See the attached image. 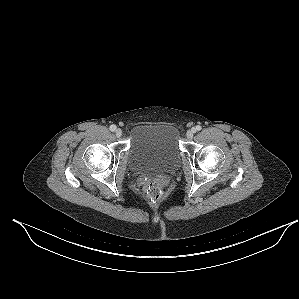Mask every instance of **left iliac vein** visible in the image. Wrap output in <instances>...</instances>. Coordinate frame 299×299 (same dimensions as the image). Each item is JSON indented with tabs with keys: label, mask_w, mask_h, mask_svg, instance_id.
<instances>
[{
	"label": "left iliac vein",
	"mask_w": 299,
	"mask_h": 299,
	"mask_svg": "<svg viewBox=\"0 0 299 299\" xmlns=\"http://www.w3.org/2000/svg\"><path fill=\"white\" fill-rule=\"evenodd\" d=\"M194 133H195V130H194V129L188 130L187 133H186L187 138H188V139H192Z\"/></svg>",
	"instance_id": "4c4485c4"
}]
</instances>
